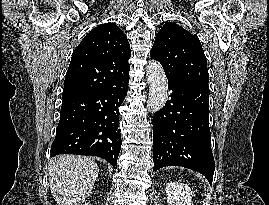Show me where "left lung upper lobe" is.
Returning a JSON list of instances; mask_svg holds the SVG:
<instances>
[{
	"label": "left lung upper lobe",
	"instance_id": "left-lung-upper-lobe-1",
	"mask_svg": "<svg viewBox=\"0 0 269 205\" xmlns=\"http://www.w3.org/2000/svg\"><path fill=\"white\" fill-rule=\"evenodd\" d=\"M150 56L161 63L168 80L208 84L207 62L199 39L176 23L168 22L161 28Z\"/></svg>",
	"mask_w": 269,
	"mask_h": 205
}]
</instances>
